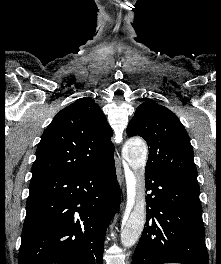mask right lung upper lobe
Segmentation results:
<instances>
[{
	"instance_id": "obj_1",
	"label": "right lung upper lobe",
	"mask_w": 221,
	"mask_h": 264,
	"mask_svg": "<svg viewBox=\"0 0 221 264\" xmlns=\"http://www.w3.org/2000/svg\"><path fill=\"white\" fill-rule=\"evenodd\" d=\"M113 131L91 98L78 99L54 117L36 150L31 181L83 171L113 157Z\"/></svg>"
}]
</instances>
